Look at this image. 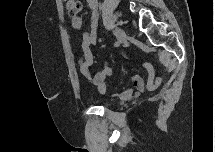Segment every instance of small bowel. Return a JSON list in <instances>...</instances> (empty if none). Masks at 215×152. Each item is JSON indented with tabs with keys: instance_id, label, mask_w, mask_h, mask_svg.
I'll list each match as a JSON object with an SVG mask.
<instances>
[{
	"instance_id": "1",
	"label": "small bowel",
	"mask_w": 215,
	"mask_h": 152,
	"mask_svg": "<svg viewBox=\"0 0 215 152\" xmlns=\"http://www.w3.org/2000/svg\"><path fill=\"white\" fill-rule=\"evenodd\" d=\"M87 13L90 15V30L82 32V50L86 59V62L81 67V72L89 82H92L100 93H105L106 83L112 75V68L108 62L102 65V68L94 75L91 74L89 66L92 63L91 47L96 45L97 42V24H98V2L97 0H86ZM84 16H72L71 25L75 30L81 31L83 27ZM149 72V80L145 85L143 78L140 75H134L132 77V86L126 88L120 93V98L123 100L130 99L133 95H139L145 91V89L153 90L159 83L160 79L153 76V70L151 67H147Z\"/></svg>"
}]
</instances>
